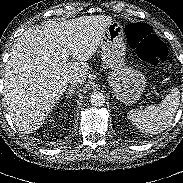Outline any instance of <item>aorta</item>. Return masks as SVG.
<instances>
[{"label":"aorta","mask_w":183,"mask_h":183,"mask_svg":"<svg viewBox=\"0 0 183 183\" xmlns=\"http://www.w3.org/2000/svg\"><path fill=\"white\" fill-rule=\"evenodd\" d=\"M90 102L94 106H102L105 103V96L101 92H93L90 96Z\"/></svg>","instance_id":"1"}]
</instances>
